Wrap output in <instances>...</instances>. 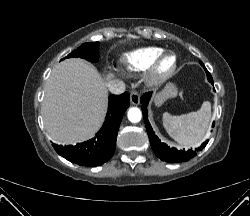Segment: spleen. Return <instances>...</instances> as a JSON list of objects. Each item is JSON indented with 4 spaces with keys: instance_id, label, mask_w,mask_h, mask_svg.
<instances>
[{
    "instance_id": "3e777b00",
    "label": "spleen",
    "mask_w": 250,
    "mask_h": 216,
    "mask_svg": "<svg viewBox=\"0 0 250 216\" xmlns=\"http://www.w3.org/2000/svg\"><path fill=\"white\" fill-rule=\"evenodd\" d=\"M211 104L202 103L196 112L182 115L163 114V125L167 133L179 144L185 147H196L205 138L210 127Z\"/></svg>"
}]
</instances>
